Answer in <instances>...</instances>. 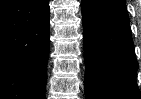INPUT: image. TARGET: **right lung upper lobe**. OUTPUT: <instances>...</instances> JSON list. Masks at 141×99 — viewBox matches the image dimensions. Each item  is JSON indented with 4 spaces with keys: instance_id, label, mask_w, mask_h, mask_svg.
<instances>
[{
    "instance_id": "right-lung-upper-lobe-1",
    "label": "right lung upper lobe",
    "mask_w": 141,
    "mask_h": 99,
    "mask_svg": "<svg viewBox=\"0 0 141 99\" xmlns=\"http://www.w3.org/2000/svg\"><path fill=\"white\" fill-rule=\"evenodd\" d=\"M6 1H8V0H2L1 3L6 2Z\"/></svg>"
}]
</instances>
